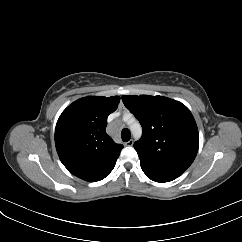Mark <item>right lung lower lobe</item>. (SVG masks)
Returning <instances> with one entry per match:
<instances>
[{
  "instance_id": "98d812e1",
  "label": "right lung lower lobe",
  "mask_w": 242,
  "mask_h": 242,
  "mask_svg": "<svg viewBox=\"0 0 242 242\" xmlns=\"http://www.w3.org/2000/svg\"><path fill=\"white\" fill-rule=\"evenodd\" d=\"M111 171H112V170H111ZM111 171H110V172H111ZM110 172H109V173H110ZM109 173H108V174H109ZM108 174H107V175H108ZM107 175H106V176H107ZM106 176H105V177H106ZM105 177H103V178H105Z\"/></svg>"
}]
</instances>
